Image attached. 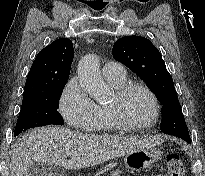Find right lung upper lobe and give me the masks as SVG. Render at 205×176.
<instances>
[{
  "label": "right lung upper lobe",
  "mask_w": 205,
  "mask_h": 176,
  "mask_svg": "<svg viewBox=\"0 0 205 176\" xmlns=\"http://www.w3.org/2000/svg\"><path fill=\"white\" fill-rule=\"evenodd\" d=\"M73 57L70 39H57L41 50L28 73L24 96L64 85L70 74Z\"/></svg>",
  "instance_id": "obj_1"
}]
</instances>
